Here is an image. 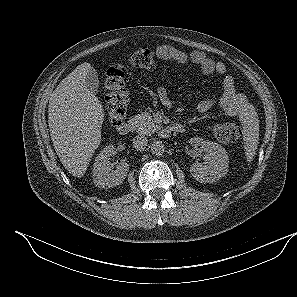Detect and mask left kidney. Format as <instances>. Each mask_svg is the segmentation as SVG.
<instances>
[{
  "mask_svg": "<svg viewBox=\"0 0 297 297\" xmlns=\"http://www.w3.org/2000/svg\"><path fill=\"white\" fill-rule=\"evenodd\" d=\"M189 143L201 146L205 151L203 163L195 162L190 167L192 176L201 183H213L227 174L229 159L225 148L200 137L191 138Z\"/></svg>",
  "mask_w": 297,
  "mask_h": 297,
  "instance_id": "1",
  "label": "left kidney"
}]
</instances>
